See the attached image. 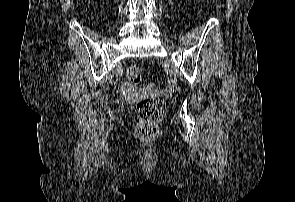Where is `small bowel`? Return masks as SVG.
I'll use <instances>...</instances> for the list:
<instances>
[{"label":"small bowel","instance_id":"small-bowel-1","mask_svg":"<svg viewBox=\"0 0 295 202\" xmlns=\"http://www.w3.org/2000/svg\"><path fill=\"white\" fill-rule=\"evenodd\" d=\"M123 98H127V103H139V98H154V93L150 89H142V85H131V81H122Z\"/></svg>","mask_w":295,"mask_h":202}]
</instances>
